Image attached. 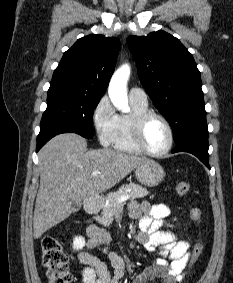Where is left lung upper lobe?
<instances>
[{
  "instance_id": "left-lung-upper-lobe-1",
  "label": "left lung upper lobe",
  "mask_w": 233,
  "mask_h": 283,
  "mask_svg": "<svg viewBox=\"0 0 233 283\" xmlns=\"http://www.w3.org/2000/svg\"><path fill=\"white\" fill-rule=\"evenodd\" d=\"M142 85L170 123L176 144L195 135L208 136L200 72L191 53L164 31L129 36Z\"/></svg>"
}]
</instances>
